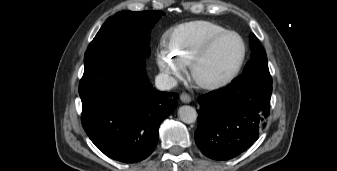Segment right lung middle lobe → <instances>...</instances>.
Wrapping results in <instances>:
<instances>
[{
  "label": "right lung middle lobe",
  "instance_id": "right-lung-middle-lobe-1",
  "mask_svg": "<svg viewBox=\"0 0 337 171\" xmlns=\"http://www.w3.org/2000/svg\"><path fill=\"white\" fill-rule=\"evenodd\" d=\"M162 11H121L109 17L87 48L84 62L108 51L125 50L150 55L149 33Z\"/></svg>",
  "mask_w": 337,
  "mask_h": 171
}]
</instances>
